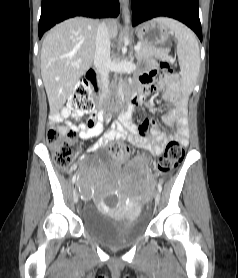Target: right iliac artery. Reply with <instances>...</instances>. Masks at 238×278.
<instances>
[{
  "mask_svg": "<svg viewBox=\"0 0 238 278\" xmlns=\"http://www.w3.org/2000/svg\"><path fill=\"white\" fill-rule=\"evenodd\" d=\"M75 181H76V174L73 175V177H72V183H75Z\"/></svg>",
  "mask_w": 238,
  "mask_h": 278,
  "instance_id": "obj_1",
  "label": "right iliac artery"
}]
</instances>
